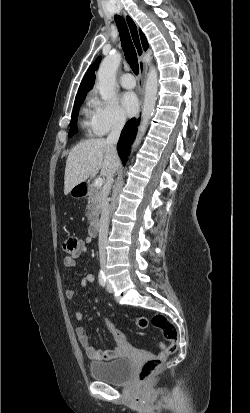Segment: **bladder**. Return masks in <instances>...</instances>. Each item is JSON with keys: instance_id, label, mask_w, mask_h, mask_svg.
<instances>
[{"instance_id": "obj_1", "label": "bladder", "mask_w": 250, "mask_h": 413, "mask_svg": "<svg viewBox=\"0 0 250 413\" xmlns=\"http://www.w3.org/2000/svg\"><path fill=\"white\" fill-rule=\"evenodd\" d=\"M133 366V360L130 357L122 356L111 361L91 363L89 371L95 380L118 385L130 378Z\"/></svg>"}]
</instances>
